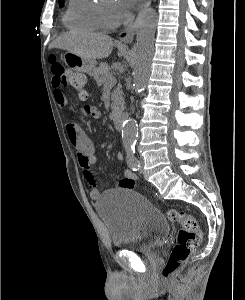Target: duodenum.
Instances as JSON below:
<instances>
[{
	"mask_svg": "<svg viewBox=\"0 0 245 300\" xmlns=\"http://www.w3.org/2000/svg\"><path fill=\"white\" fill-rule=\"evenodd\" d=\"M113 120H114L115 127L118 130H122L123 126H124V117H123V115H120V114L115 115Z\"/></svg>",
	"mask_w": 245,
	"mask_h": 300,
	"instance_id": "obj_1",
	"label": "duodenum"
}]
</instances>
